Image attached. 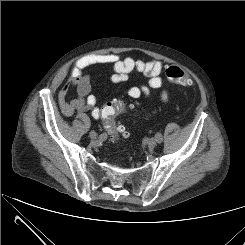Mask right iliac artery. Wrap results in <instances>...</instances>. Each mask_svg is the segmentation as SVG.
<instances>
[{"mask_svg":"<svg viewBox=\"0 0 245 245\" xmlns=\"http://www.w3.org/2000/svg\"><path fill=\"white\" fill-rule=\"evenodd\" d=\"M103 137H104V134L101 135V138H103Z\"/></svg>","mask_w":245,"mask_h":245,"instance_id":"1","label":"right iliac artery"}]
</instances>
